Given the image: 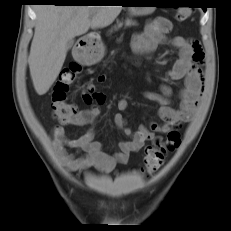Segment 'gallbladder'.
<instances>
[{"mask_svg": "<svg viewBox=\"0 0 231 231\" xmlns=\"http://www.w3.org/2000/svg\"><path fill=\"white\" fill-rule=\"evenodd\" d=\"M73 44H74V40L73 39L69 40L67 43V48L70 49L73 46Z\"/></svg>", "mask_w": 231, "mask_h": 231, "instance_id": "1", "label": "gallbladder"}]
</instances>
